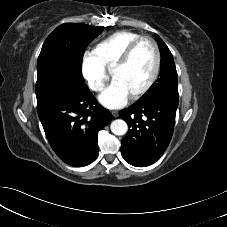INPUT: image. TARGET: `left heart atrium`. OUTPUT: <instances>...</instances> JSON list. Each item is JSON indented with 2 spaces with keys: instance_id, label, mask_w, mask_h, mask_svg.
I'll return each mask as SVG.
<instances>
[{
  "instance_id": "1",
  "label": "left heart atrium",
  "mask_w": 227,
  "mask_h": 227,
  "mask_svg": "<svg viewBox=\"0 0 227 227\" xmlns=\"http://www.w3.org/2000/svg\"><path fill=\"white\" fill-rule=\"evenodd\" d=\"M130 94L124 85L114 79L110 85L101 93L99 101L109 109H117L124 106Z\"/></svg>"
}]
</instances>
